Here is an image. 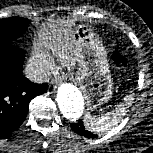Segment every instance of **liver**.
I'll use <instances>...</instances> for the list:
<instances>
[{
  "mask_svg": "<svg viewBox=\"0 0 153 153\" xmlns=\"http://www.w3.org/2000/svg\"><path fill=\"white\" fill-rule=\"evenodd\" d=\"M75 24L72 20H62L50 24V30L44 31V43L59 57L62 65L73 68L79 62V51L74 40Z\"/></svg>",
  "mask_w": 153,
  "mask_h": 153,
  "instance_id": "1",
  "label": "liver"
}]
</instances>
